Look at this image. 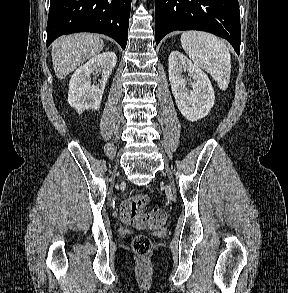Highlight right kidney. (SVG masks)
Listing matches in <instances>:
<instances>
[{
    "mask_svg": "<svg viewBox=\"0 0 288 293\" xmlns=\"http://www.w3.org/2000/svg\"><path fill=\"white\" fill-rule=\"evenodd\" d=\"M117 57L114 52L107 51L92 57L80 66L71 76L68 102L80 114L83 110H98L102 95ZM101 74L98 84H91L92 73Z\"/></svg>",
    "mask_w": 288,
    "mask_h": 293,
    "instance_id": "1",
    "label": "right kidney"
}]
</instances>
